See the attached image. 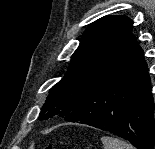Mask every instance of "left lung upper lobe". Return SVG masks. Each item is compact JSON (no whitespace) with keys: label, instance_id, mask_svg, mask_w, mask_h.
I'll list each match as a JSON object with an SVG mask.
<instances>
[{"label":"left lung upper lobe","instance_id":"left-lung-upper-lobe-1","mask_svg":"<svg viewBox=\"0 0 155 149\" xmlns=\"http://www.w3.org/2000/svg\"><path fill=\"white\" fill-rule=\"evenodd\" d=\"M132 23L126 16H107L85 30L67 73L49 90L40 120L64 119L72 112L81 97L114 63L131 34Z\"/></svg>","mask_w":155,"mask_h":149}]
</instances>
